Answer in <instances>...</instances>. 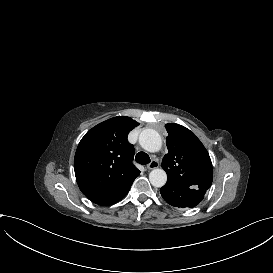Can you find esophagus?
<instances>
[{
    "label": "esophagus",
    "instance_id": "esophagus-1",
    "mask_svg": "<svg viewBox=\"0 0 273 273\" xmlns=\"http://www.w3.org/2000/svg\"><path fill=\"white\" fill-rule=\"evenodd\" d=\"M159 166V162L155 159H153L148 165V169H156Z\"/></svg>",
    "mask_w": 273,
    "mask_h": 273
}]
</instances>
